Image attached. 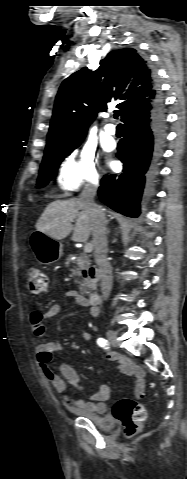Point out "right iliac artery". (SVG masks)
<instances>
[{"mask_svg": "<svg viewBox=\"0 0 187 479\" xmlns=\"http://www.w3.org/2000/svg\"><path fill=\"white\" fill-rule=\"evenodd\" d=\"M97 344L105 349H108V341L106 339H103V338H99L97 340Z\"/></svg>", "mask_w": 187, "mask_h": 479, "instance_id": "right-iliac-artery-1", "label": "right iliac artery"}]
</instances>
